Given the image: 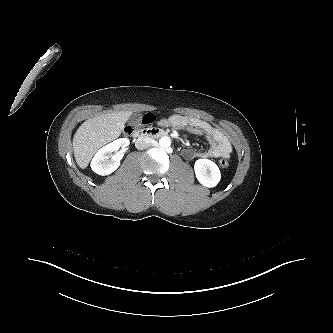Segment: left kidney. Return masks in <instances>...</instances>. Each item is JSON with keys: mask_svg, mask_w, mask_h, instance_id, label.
<instances>
[{"mask_svg": "<svg viewBox=\"0 0 333 333\" xmlns=\"http://www.w3.org/2000/svg\"><path fill=\"white\" fill-rule=\"evenodd\" d=\"M197 180L205 187H215L220 179L221 173L218 166L208 159H198L194 165Z\"/></svg>", "mask_w": 333, "mask_h": 333, "instance_id": "left-kidney-1", "label": "left kidney"}]
</instances>
